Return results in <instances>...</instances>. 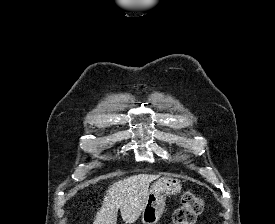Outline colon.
Listing matches in <instances>:
<instances>
[{
  "mask_svg": "<svg viewBox=\"0 0 275 224\" xmlns=\"http://www.w3.org/2000/svg\"><path fill=\"white\" fill-rule=\"evenodd\" d=\"M202 199L192 193H185L181 197V206L172 216L173 224H193L196 217L203 211Z\"/></svg>",
  "mask_w": 275,
  "mask_h": 224,
  "instance_id": "colon-1",
  "label": "colon"
}]
</instances>
